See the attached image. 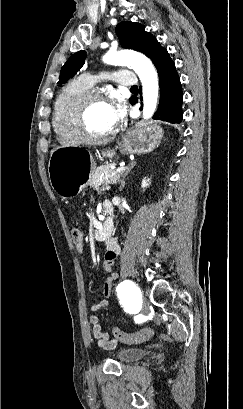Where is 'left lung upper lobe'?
<instances>
[{
	"label": "left lung upper lobe",
	"instance_id": "left-lung-upper-lobe-1",
	"mask_svg": "<svg viewBox=\"0 0 243 409\" xmlns=\"http://www.w3.org/2000/svg\"><path fill=\"white\" fill-rule=\"evenodd\" d=\"M116 34L123 48L133 49L144 53L149 57L156 69L168 64L171 58L165 48L149 32L145 31V26L124 21L116 26ZM86 52L84 50L73 54L63 65L58 84H64L73 77L84 65ZM133 97L130 98L132 102Z\"/></svg>",
	"mask_w": 243,
	"mask_h": 409
}]
</instances>
